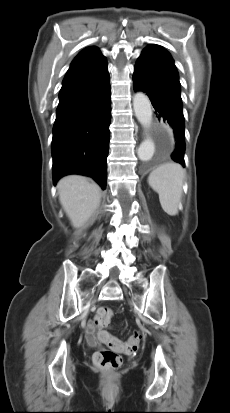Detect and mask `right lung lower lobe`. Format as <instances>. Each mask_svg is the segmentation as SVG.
Here are the masks:
<instances>
[{
    "label": "right lung lower lobe",
    "instance_id": "right-lung-lower-lobe-1",
    "mask_svg": "<svg viewBox=\"0 0 230 413\" xmlns=\"http://www.w3.org/2000/svg\"><path fill=\"white\" fill-rule=\"evenodd\" d=\"M109 80L107 68L62 85L53 127L54 184L65 175L81 174L106 188L111 122Z\"/></svg>",
    "mask_w": 230,
    "mask_h": 413
}]
</instances>
